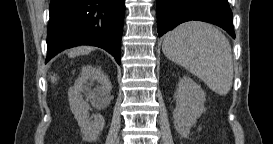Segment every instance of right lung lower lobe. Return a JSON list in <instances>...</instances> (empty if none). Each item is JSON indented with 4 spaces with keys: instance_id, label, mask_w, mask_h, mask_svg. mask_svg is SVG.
<instances>
[{
    "instance_id": "1",
    "label": "right lung lower lobe",
    "mask_w": 273,
    "mask_h": 144,
    "mask_svg": "<svg viewBox=\"0 0 273 144\" xmlns=\"http://www.w3.org/2000/svg\"><path fill=\"white\" fill-rule=\"evenodd\" d=\"M49 9L46 63L78 45L103 48L121 63L125 0H51Z\"/></svg>"
}]
</instances>
